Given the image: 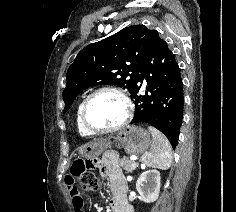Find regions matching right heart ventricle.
Here are the masks:
<instances>
[{
    "instance_id": "obj_1",
    "label": "right heart ventricle",
    "mask_w": 236,
    "mask_h": 212,
    "mask_svg": "<svg viewBox=\"0 0 236 212\" xmlns=\"http://www.w3.org/2000/svg\"><path fill=\"white\" fill-rule=\"evenodd\" d=\"M83 101H81L77 108H76V113H75V124H76V129L79 135L83 137L90 136L91 134L85 130L83 127L81 120H80V111H81V106H82Z\"/></svg>"
}]
</instances>
